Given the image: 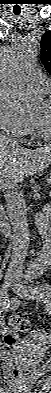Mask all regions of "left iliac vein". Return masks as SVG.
Returning <instances> with one entry per match:
<instances>
[{"instance_id": "4c4485c4", "label": "left iliac vein", "mask_w": 51, "mask_h": 393, "mask_svg": "<svg viewBox=\"0 0 51 393\" xmlns=\"http://www.w3.org/2000/svg\"><path fill=\"white\" fill-rule=\"evenodd\" d=\"M13 291L20 297L22 298H30L32 295L29 292H26L28 287L23 286L20 284H14L12 286ZM32 297H37V296H32Z\"/></svg>"}]
</instances>
